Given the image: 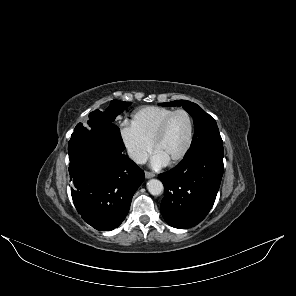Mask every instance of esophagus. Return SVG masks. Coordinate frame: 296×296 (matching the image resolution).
I'll list each match as a JSON object with an SVG mask.
<instances>
[{"mask_svg":"<svg viewBox=\"0 0 296 296\" xmlns=\"http://www.w3.org/2000/svg\"><path fill=\"white\" fill-rule=\"evenodd\" d=\"M154 176H155L154 173L149 172V171H145V177H146L147 179L153 178Z\"/></svg>","mask_w":296,"mask_h":296,"instance_id":"34e87169","label":"esophagus"}]
</instances>
